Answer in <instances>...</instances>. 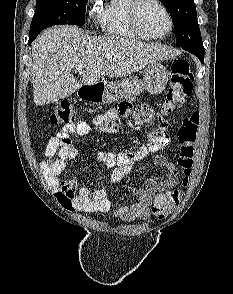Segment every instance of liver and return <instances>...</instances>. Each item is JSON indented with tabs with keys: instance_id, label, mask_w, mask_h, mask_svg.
I'll return each mask as SVG.
<instances>
[{
	"instance_id": "1",
	"label": "liver",
	"mask_w": 233,
	"mask_h": 294,
	"mask_svg": "<svg viewBox=\"0 0 233 294\" xmlns=\"http://www.w3.org/2000/svg\"><path fill=\"white\" fill-rule=\"evenodd\" d=\"M171 56V51L158 44L89 36L74 26H54L32 44L33 100L41 106L58 102L104 76L126 77ZM78 64L85 68L79 71L80 81L71 73Z\"/></svg>"
}]
</instances>
